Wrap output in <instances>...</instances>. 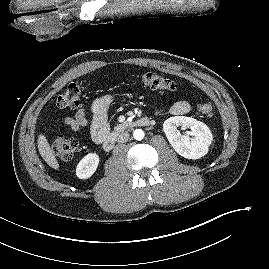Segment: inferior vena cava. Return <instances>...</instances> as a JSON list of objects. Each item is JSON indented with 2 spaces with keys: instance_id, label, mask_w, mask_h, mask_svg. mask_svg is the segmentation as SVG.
I'll return each mask as SVG.
<instances>
[{
  "instance_id": "1",
  "label": "inferior vena cava",
  "mask_w": 269,
  "mask_h": 269,
  "mask_svg": "<svg viewBox=\"0 0 269 269\" xmlns=\"http://www.w3.org/2000/svg\"><path fill=\"white\" fill-rule=\"evenodd\" d=\"M128 139H129V133L124 132L118 136L117 141L118 143H126Z\"/></svg>"
}]
</instances>
